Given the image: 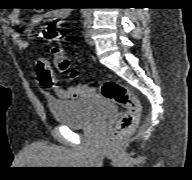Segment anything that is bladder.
Masks as SVG:
<instances>
[{
  "instance_id": "bladder-1",
  "label": "bladder",
  "mask_w": 192,
  "mask_h": 180,
  "mask_svg": "<svg viewBox=\"0 0 192 180\" xmlns=\"http://www.w3.org/2000/svg\"><path fill=\"white\" fill-rule=\"evenodd\" d=\"M48 109L59 125L84 128L114 115L117 107L100 96H88L75 100L49 99Z\"/></svg>"
}]
</instances>
